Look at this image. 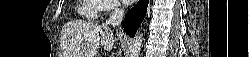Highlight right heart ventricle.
Returning a JSON list of instances; mask_svg holds the SVG:
<instances>
[{
	"mask_svg": "<svg viewBox=\"0 0 249 57\" xmlns=\"http://www.w3.org/2000/svg\"><path fill=\"white\" fill-rule=\"evenodd\" d=\"M78 7V12L88 19H96L99 12V3L97 0H83Z\"/></svg>",
	"mask_w": 249,
	"mask_h": 57,
	"instance_id": "e07e8e85",
	"label": "right heart ventricle"
}]
</instances>
